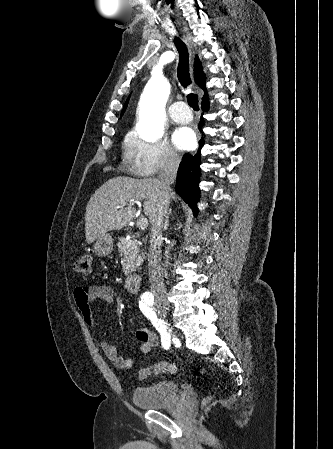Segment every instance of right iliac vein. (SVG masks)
Segmentation results:
<instances>
[{
    "mask_svg": "<svg viewBox=\"0 0 333 449\" xmlns=\"http://www.w3.org/2000/svg\"><path fill=\"white\" fill-rule=\"evenodd\" d=\"M161 309H162V311H163L164 313H167V312L169 311V306L166 305V304H164V305L161 306Z\"/></svg>",
    "mask_w": 333,
    "mask_h": 449,
    "instance_id": "63e3f726",
    "label": "right iliac vein"
}]
</instances>
